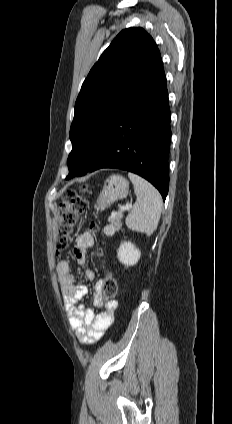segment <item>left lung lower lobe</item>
<instances>
[{
    "label": "left lung lower lobe",
    "mask_w": 232,
    "mask_h": 424,
    "mask_svg": "<svg viewBox=\"0 0 232 424\" xmlns=\"http://www.w3.org/2000/svg\"><path fill=\"white\" fill-rule=\"evenodd\" d=\"M170 109L162 61L128 101L104 138L90 172L118 168L169 189Z\"/></svg>",
    "instance_id": "1"
}]
</instances>
